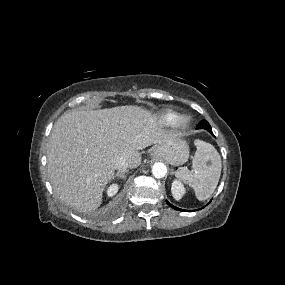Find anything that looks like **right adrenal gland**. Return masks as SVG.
I'll return each instance as SVG.
<instances>
[{
	"label": "right adrenal gland",
	"mask_w": 285,
	"mask_h": 285,
	"mask_svg": "<svg viewBox=\"0 0 285 285\" xmlns=\"http://www.w3.org/2000/svg\"><path fill=\"white\" fill-rule=\"evenodd\" d=\"M128 170H122V171H118L114 176L113 179H115L116 177H119L121 179H125V173H127Z\"/></svg>",
	"instance_id": "2a0ac1e0"
}]
</instances>
